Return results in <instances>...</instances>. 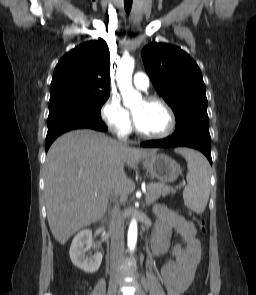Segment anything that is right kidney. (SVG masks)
Here are the masks:
<instances>
[{
  "label": "right kidney",
  "instance_id": "obj_1",
  "mask_svg": "<svg viewBox=\"0 0 256 295\" xmlns=\"http://www.w3.org/2000/svg\"><path fill=\"white\" fill-rule=\"evenodd\" d=\"M92 246V231L84 229L73 238L70 246V259L72 263L86 273H95L102 262V253L97 251L93 256L86 254Z\"/></svg>",
  "mask_w": 256,
  "mask_h": 295
}]
</instances>
